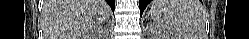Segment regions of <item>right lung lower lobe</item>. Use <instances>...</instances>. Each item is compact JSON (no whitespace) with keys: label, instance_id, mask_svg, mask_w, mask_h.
<instances>
[{"label":"right lung lower lobe","instance_id":"98d812e1","mask_svg":"<svg viewBox=\"0 0 249 39\" xmlns=\"http://www.w3.org/2000/svg\"><path fill=\"white\" fill-rule=\"evenodd\" d=\"M106 1L109 4V6L111 7V9L113 10V12H114V9H115V0H106Z\"/></svg>","mask_w":249,"mask_h":39}]
</instances>
